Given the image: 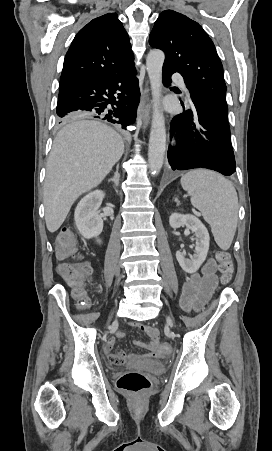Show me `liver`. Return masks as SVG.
<instances>
[{
  "label": "liver",
  "instance_id": "liver-1",
  "mask_svg": "<svg viewBox=\"0 0 272 451\" xmlns=\"http://www.w3.org/2000/svg\"><path fill=\"white\" fill-rule=\"evenodd\" d=\"M124 152L112 128L85 118H72L58 132L47 162L44 182L45 222L53 233L62 226L75 200L97 188Z\"/></svg>",
  "mask_w": 272,
  "mask_h": 451
}]
</instances>
